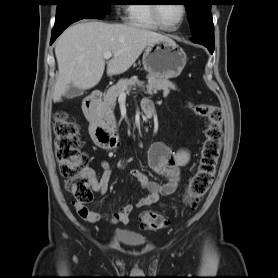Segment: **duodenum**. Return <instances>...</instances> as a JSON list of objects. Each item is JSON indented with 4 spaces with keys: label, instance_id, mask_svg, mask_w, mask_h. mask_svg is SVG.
<instances>
[{
    "label": "duodenum",
    "instance_id": "obj_1",
    "mask_svg": "<svg viewBox=\"0 0 278 278\" xmlns=\"http://www.w3.org/2000/svg\"><path fill=\"white\" fill-rule=\"evenodd\" d=\"M102 92L93 91L83 102V112L89 121L93 140L103 148H115L119 145V136L100 117L98 106Z\"/></svg>",
    "mask_w": 278,
    "mask_h": 278
}]
</instances>
